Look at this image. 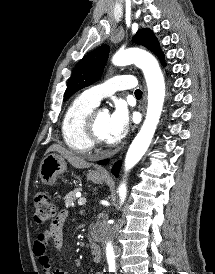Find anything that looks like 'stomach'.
<instances>
[{
	"mask_svg": "<svg viewBox=\"0 0 215 274\" xmlns=\"http://www.w3.org/2000/svg\"><path fill=\"white\" fill-rule=\"evenodd\" d=\"M66 169L67 163L61 155L49 154L40 164L39 177L44 184L52 186L56 183L57 177L64 173ZM87 179L96 184H101L106 181V176L97 171H89Z\"/></svg>",
	"mask_w": 215,
	"mask_h": 274,
	"instance_id": "1",
	"label": "stomach"
}]
</instances>
